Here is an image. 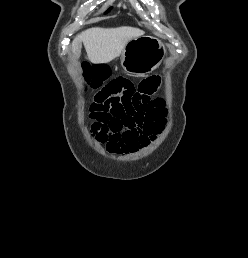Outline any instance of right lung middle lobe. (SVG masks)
Segmentation results:
<instances>
[{
    "label": "right lung middle lobe",
    "mask_w": 248,
    "mask_h": 258,
    "mask_svg": "<svg viewBox=\"0 0 248 258\" xmlns=\"http://www.w3.org/2000/svg\"><path fill=\"white\" fill-rule=\"evenodd\" d=\"M111 10V8L110 9H108L107 11H106V13L108 12V11H110Z\"/></svg>",
    "instance_id": "dd1d6c3e"
}]
</instances>
